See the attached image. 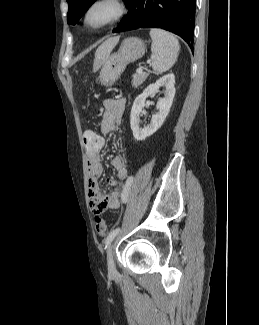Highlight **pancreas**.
Listing matches in <instances>:
<instances>
[{
  "instance_id": "obj_1",
  "label": "pancreas",
  "mask_w": 259,
  "mask_h": 325,
  "mask_svg": "<svg viewBox=\"0 0 259 325\" xmlns=\"http://www.w3.org/2000/svg\"><path fill=\"white\" fill-rule=\"evenodd\" d=\"M148 77V73L146 72H141V73H135L133 75V80H132V87L137 88L139 87Z\"/></svg>"
}]
</instances>
